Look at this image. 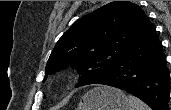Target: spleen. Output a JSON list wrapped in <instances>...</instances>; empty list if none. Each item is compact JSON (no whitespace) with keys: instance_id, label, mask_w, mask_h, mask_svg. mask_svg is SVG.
I'll list each match as a JSON object with an SVG mask.
<instances>
[{"instance_id":"1","label":"spleen","mask_w":171,"mask_h":110,"mask_svg":"<svg viewBox=\"0 0 171 110\" xmlns=\"http://www.w3.org/2000/svg\"><path fill=\"white\" fill-rule=\"evenodd\" d=\"M127 102L130 106L129 110H150L144 102L132 95L127 96Z\"/></svg>"}]
</instances>
